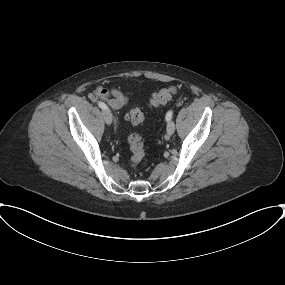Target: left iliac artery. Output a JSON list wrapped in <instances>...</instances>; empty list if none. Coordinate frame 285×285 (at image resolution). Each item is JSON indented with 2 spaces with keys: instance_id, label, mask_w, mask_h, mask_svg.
<instances>
[{
  "instance_id": "44dca946",
  "label": "left iliac artery",
  "mask_w": 285,
  "mask_h": 285,
  "mask_svg": "<svg viewBox=\"0 0 285 285\" xmlns=\"http://www.w3.org/2000/svg\"><path fill=\"white\" fill-rule=\"evenodd\" d=\"M172 115H173V111L172 110H169L166 114V120L167 121H170L171 118H172Z\"/></svg>"
}]
</instances>
